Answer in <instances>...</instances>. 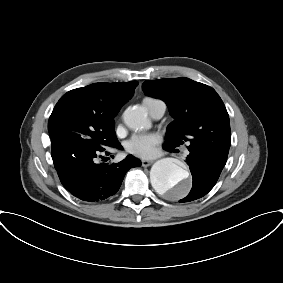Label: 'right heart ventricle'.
Returning <instances> with one entry per match:
<instances>
[{"mask_svg": "<svg viewBox=\"0 0 283 283\" xmlns=\"http://www.w3.org/2000/svg\"><path fill=\"white\" fill-rule=\"evenodd\" d=\"M156 99H152V98H144L143 102L145 103V105H148L150 102L155 101Z\"/></svg>", "mask_w": 283, "mask_h": 283, "instance_id": "right-heart-ventricle-1", "label": "right heart ventricle"}]
</instances>
